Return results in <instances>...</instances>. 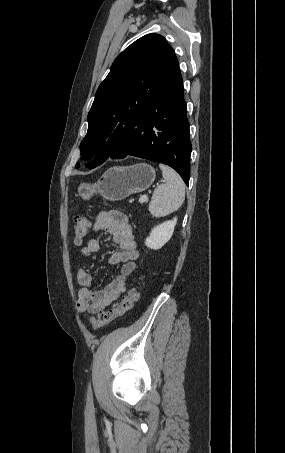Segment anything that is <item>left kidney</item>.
Returning <instances> with one entry per match:
<instances>
[{"label": "left kidney", "mask_w": 285, "mask_h": 453, "mask_svg": "<svg viewBox=\"0 0 285 453\" xmlns=\"http://www.w3.org/2000/svg\"><path fill=\"white\" fill-rule=\"evenodd\" d=\"M176 223L177 218L175 217L173 220L165 221L155 226L151 230L149 237L146 238L145 245L154 250L162 248L172 237Z\"/></svg>", "instance_id": "1"}]
</instances>
